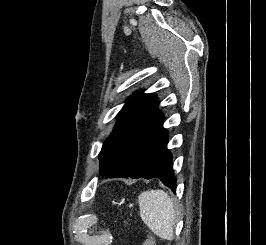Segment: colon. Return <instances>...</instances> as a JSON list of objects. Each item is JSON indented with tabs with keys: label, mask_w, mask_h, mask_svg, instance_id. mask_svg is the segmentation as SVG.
<instances>
[{
	"label": "colon",
	"mask_w": 266,
	"mask_h": 245,
	"mask_svg": "<svg viewBox=\"0 0 266 245\" xmlns=\"http://www.w3.org/2000/svg\"><path fill=\"white\" fill-rule=\"evenodd\" d=\"M143 245H155L153 237H151V236L147 237L144 240Z\"/></svg>",
	"instance_id": "1"
}]
</instances>
